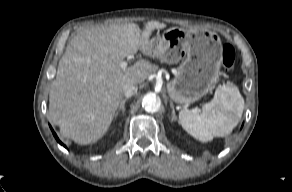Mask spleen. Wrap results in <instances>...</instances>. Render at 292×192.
Masks as SVG:
<instances>
[{"label": "spleen", "instance_id": "obj_1", "mask_svg": "<svg viewBox=\"0 0 292 192\" xmlns=\"http://www.w3.org/2000/svg\"><path fill=\"white\" fill-rule=\"evenodd\" d=\"M244 109V99L233 83L219 85L213 99L202 106L201 113L183 109L179 123L183 129L201 142L229 135L239 123Z\"/></svg>", "mask_w": 292, "mask_h": 192}]
</instances>
